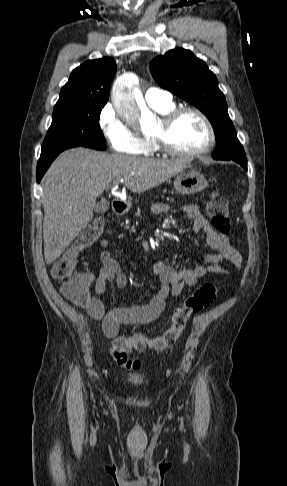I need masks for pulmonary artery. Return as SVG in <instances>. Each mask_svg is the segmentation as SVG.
Listing matches in <instances>:
<instances>
[{
    "instance_id": "e3ab8cb5",
    "label": "pulmonary artery",
    "mask_w": 287,
    "mask_h": 486,
    "mask_svg": "<svg viewBox=\"0 0 287 486\" xmlns=\"http://www.w3.org/2000/svg\"><path fill=\"white\" fill-rule=\"evenodd\" d=\"M145 100L153 108L164 107L172 103V95L168 91L151 87L145 92Z\"/></svg>"
}]
</instances>
